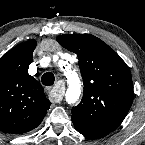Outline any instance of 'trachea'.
Here are the masks:
<instances>
[{
    "label": "trachea",
    "mask_w": 145,
    "mask_h": 145,
    "mask_svg": "<svg viewBox=\"0 0 145 145\" xmlns=\"http://www.w3.org/2000/svg\"><path fill=\"white\" fill-rule=\"evenodd\" d=\"M41 81L43 85L50 86L54 84L55 77L51 72H47L43 74Z\"/></svg>",
    "instance_id": "trachea-1"
}]
</instances>
